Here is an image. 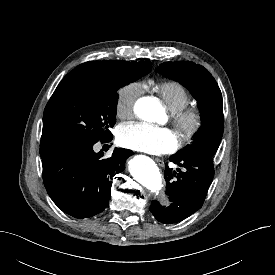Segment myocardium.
I'll use <instances>...</instances> for the list:
<instances>
[{
  "mask_svg": "<svg viewBox=\"0 0 275 275\" xmlns=\"http://www.w3.org/2000/svg\"><path fill=\"white\" fill-rule=\"evenodd\" d=\"M171 122L181 143H186L200 130L202 115L197 108L187 106L182 110L172 113Z\"/></svg>",
  "mask_w": 275,
  "mask_h": 275,
  "instance_id": "f54148a6",
  "label": "myocardium"
}]
</instances>
